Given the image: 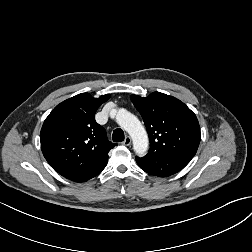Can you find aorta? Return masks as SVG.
<instances>
[{"label":"aorta","mask_w":252,"mask_h":252,"mask_svg":"<svg viewBox=\"0 0 252 252\" xmlns=\"http://www.w3.org/2000/svg\"><path fill=\"white\" fill-rule=\"evenodd\" d=\"M117 123L129 133L133 140V149L138 155H144L148 149V136L139 119L125 109H119Z\"/></svg>","instance_id":"762f6f07"}]
</instances>
